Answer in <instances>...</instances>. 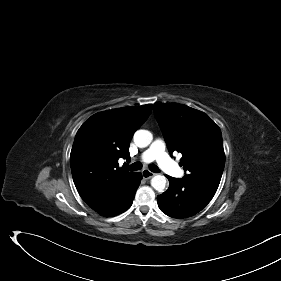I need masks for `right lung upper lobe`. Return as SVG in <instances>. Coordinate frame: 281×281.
<instances>
[{"instance_id":"obj_1","label":"right lung upper lobe","mask_w":281,"mask_h":281,"mask_svg":"<svg viewBox=\"0 0 281 281\" xmlns=\"http://www.w3.org/2000/svg\"><path fill=\"white\" fill-rule=\"evenodd\" d=\"M151 110L147 104L103 111L78 130L70 154L72 176L82 199L97 213L116 210L130 191L136 173L119 168L118 159H130V140Z\"/></svg>"}]
</instances>
